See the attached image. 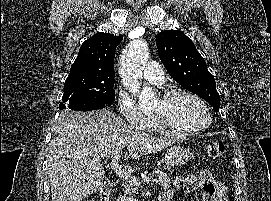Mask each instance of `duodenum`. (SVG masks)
<instances>
[{
	"label": "duodenum",
	"instance_id": "410a0bca",
	"mask_svg": "<svg viewBox=\"0 0 271 201\" xmlns=\"http://www.w3.org/2000/svg\"><path fill=\"white\" fill-rule=\"evenodd\" d=\"M115 186L114 182L108 181L106 182L99 191V201H110L112 190ZM170 194H163L160 201H171Z\"/></svg>",
	"mask_w": 271,
	"mask_h": 201
}]
</instances>
